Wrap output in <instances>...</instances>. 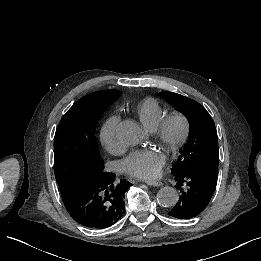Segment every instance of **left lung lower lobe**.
I'll list each match as a JSON object with an SVG mask.
<instances>
[{
  "label": "left lung lower lobe",
  "mask_w": 261,
  "mask_h": 261,
  "mask_svg": "<svg viewBox=\"0 0 261 261\" xmlns=\"http://www.w3.org/2000/svg\"><path fill=\"white\" fill-rule=\"evenodd\" d=\"M175 176L178 178L176 188L179 189L180 196L168 214L177 219H189L199 215L212 198L217 177L196 170Z\"/></svg>",
  "instance_id": "0a47b994"
}]
</instances>
